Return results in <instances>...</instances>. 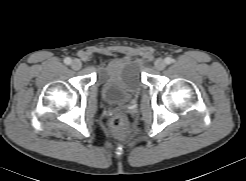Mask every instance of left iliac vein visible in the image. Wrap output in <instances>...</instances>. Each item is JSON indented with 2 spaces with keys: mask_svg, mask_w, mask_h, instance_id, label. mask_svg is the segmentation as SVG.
Here are the masks:
<instances>
[{
  "mask_svg": "<svg viewBox=\"0 0 246 181\" xmlns=\"http://www.w3.org/2000/svg\"><path fill=\"white\" fill-rule=\"evenodd\" d=\"M154 65L157 70H163L166 67V62L163 59H157Z\"/></svg>",
  "mask_w": 246,
  "mask_h": 181,
  "instance_id": "1",
  "label": "left iliac vein"
}]
</instances>
